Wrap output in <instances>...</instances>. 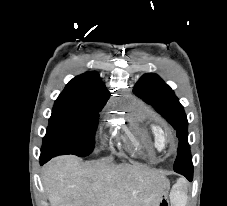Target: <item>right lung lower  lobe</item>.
<instances>
[{
	"label": "right lung lower lobe",
	"mask_w": 227,
	"mask_h": 206,
	"mask_svg": "<svg viewBox=\"0 0 227 206\" xmlns=\"http://www.w3.org/2000/svg\"><path fill=\"white\" fill-rule=\"evenodd\" d=\"M51 158H52V156H50V155H41L40 156L41 165H43L44 163L49 161Z\"/></svg>",
	"instance_id": "98d812e1"
}]
</instances>
